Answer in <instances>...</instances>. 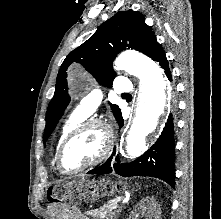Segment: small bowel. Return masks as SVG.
I'll use <instances>...</instances> for the list:
<instances>
[{"label": "small bowel", "mask_w": 221, "mask_h": 219, "mask_svg": "<svg viewBox=\"0 0 221 219\" xmlns=\"http://www.w3.org/2000/svg\"><path fill=\"white\" fill-rule=\"evenodd\" d=\"M59 217L60 219H90L77 208H60Z\"/></svg>", "instance_id": "small-bowel-1"}]
</instances>
